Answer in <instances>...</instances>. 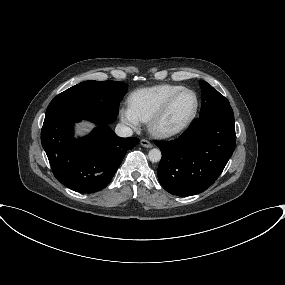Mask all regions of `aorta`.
I'll return each mask as SVG.
<instances>
[{"instance_id":"1","label":"aorta","mask_w":285,"mask_h":285,"mask_svg":"<svg viewBox=\"0 0 285 285\" xmlns=\"http://www.w3.org/2000/svg\"><path fill=\"white\" fill-rule=\"evenodd\" d=\"M161 151L157 148H153L149 151L148 157L151 162H159L161 159Z\"/></svg>"}]
</instances>
